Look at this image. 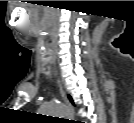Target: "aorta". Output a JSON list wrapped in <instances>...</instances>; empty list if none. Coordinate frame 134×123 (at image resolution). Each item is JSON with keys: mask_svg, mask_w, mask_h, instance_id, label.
I'll list each match as a JSON object with an SVG mask.
<instances>
[{"mask_svg": "<svg viewBox=\"0 0 134 123\" xmlns=\"http://www.w3.org/2000/svg\"><path fill=\"white\" fill-rule=\"evenodd\" d=\"M40 111L43 115L59 117V118L68 115L70 112L68 107L64 106L63 104L55 103V102L44 103L41 106Z\"/></svg>", "mask_w": 134, "mask_h": 123, "instance_id": "1", "label": "aorta"}]
</instances>
